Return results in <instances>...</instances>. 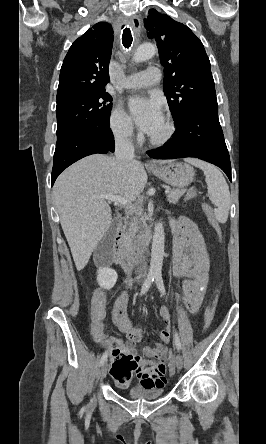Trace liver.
<instances>
[{"label":"liver","mask_w":266,"mask_h":444,"mask_svg":"<svg viewBox=\"0 0 266 444\" xmlns=\"http://www.w3.org/2000/svg\"><path fill=\"white\" fill-rule=\"evenodd\" d=\"M147 179L140 162L123 163L103 154L87 156L60 174L54 184L55 202L77 270L87 265L111 226V208L105 199L97 197L120 195L133 201L142 193Z\"/></svg>","instance_id":"obj_1"}]
</instances>
